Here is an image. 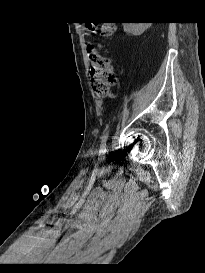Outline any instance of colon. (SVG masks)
<instances>
[{
	"instance_id": "colon-1",
	"label": "colon",
	"mask_w": 205,
	"mask_h": 273,
	"mask_svg": "<svg viewBox=\"0 0 205 273\" xmlns=\"http://www.w3.org/2000/svg\"><path fill=\"white\" fill-rule=\"evenodd\" d=\"M115 23L105 21L100 24L99 29L102 35L109 36L113 33ZM97 27L87 25V31L95 32ZM88 57L91 64V88L95 96L106 98L111 96V88L116 84V77L112 72L110 59L97 47L90 45Z\"/></svg>"
}]
</instances>
